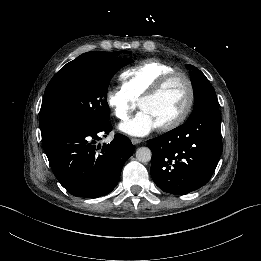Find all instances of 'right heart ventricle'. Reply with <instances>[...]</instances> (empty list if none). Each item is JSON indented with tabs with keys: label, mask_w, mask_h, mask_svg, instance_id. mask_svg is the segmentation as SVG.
<instances>
[{
	"label": "right heart ventricle",
	"mask_w": 261,
	"mask_h": 261,
	"mask_svg": "<svg viewBox=\"0 0 261 261\" xmlns=\"http://www.w3.org/2000/svg\"><path fill=\"white\" fill-rule=\"evenodd\" d=\"M174 70L169 63L159 59L143 60L122 72L121 89L138 102L164 74Z\"/></svg>",
	"instance_id": "right-heart-ventricle-1"
}]
</instances>
